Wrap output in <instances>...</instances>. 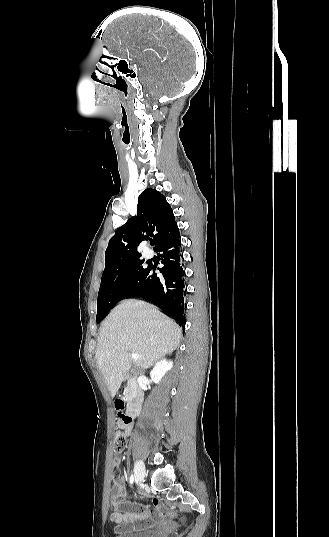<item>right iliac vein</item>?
<instances>
[{
    "label": "right iliac vein",
    "instance_id": "right-iliac-vein-1",
    "mask_svg": "<svg viewBox=\"0 0 329 537\" xmlns=\"http://www.w3.org/2000/svg\"><path fill=\"white\" fill-rule=\"evenodd\" d=\"M145 477V466L142 460H138L135 465V481L140 483Z\"/></svg>",
    "mask_w": 329,
    "mask_h": 537
}]
</instances>
